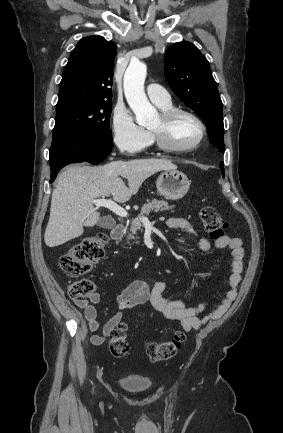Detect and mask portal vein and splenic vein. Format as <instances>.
<instances>
[{
	"label": "portal vein and splenic vein",
	"mask_w": 283,
	"mask_h": 433,
	"mask_svg": "<svg viewBox=\"0 0 283 433\" xmlns=\"http://www.w3.org/2000/svg\"><path fill=\"white\" fill-rule=\"evenodd\" d=\"M92 202L96 204V206H107V208H110V210H113L115 214H119V217H128V212L125 210V208H122V206H119V204H116L114 200H111V198H92ZM141 223L143 225H147V223H150L149 219L147 217H142Z\"/></svg>",
	"instance_id": "portal-vein-and-splenic-vein-1"
}]
</instances>
